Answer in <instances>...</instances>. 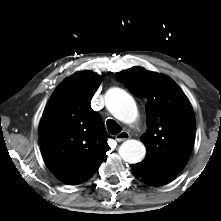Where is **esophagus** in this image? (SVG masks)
<instances>
[{"label": "esophagus", "mask_w": 221, "mask_h": 221, "mask_svg": "<svg viewBox=\"0 0 221 221\" xmlns=\"http://www.w3.org/2000/svg\"><path fill=\"white\" fill-rule=\"evenodd\" d=\"M115 138L118 142H122L128 140L130 138V134L127 131H121Z\"/></svg>", "instance_id": "34e87169"}]
</instances>
